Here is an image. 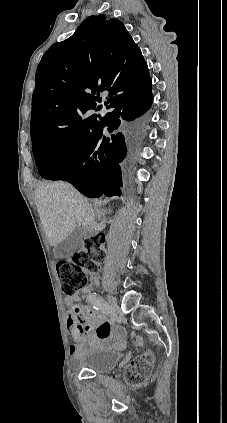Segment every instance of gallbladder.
I'll return each instance as SVG.
<instances>
[{
  "mask_svg": "<svg viewBox=\"0 0 227 423\" xmlns=\"http://www.w3.org/2000/svg\"><path fill=\"white\" fill-rule=\"evenodd\" d=\"M87 235V229L82 227V225H78V227L72 231L71 235H68L63 241H60V243H57V245L53 247L54 257H57V259H63V257L70 259L74 251H76L78 247H82Z\"/></svg>",
  "mask_w": 227,
  "mask_h": 423,
  "instance_id": "gallbladder-1",
  "label": "gallbladder"
}]
</instances>
